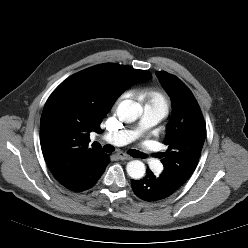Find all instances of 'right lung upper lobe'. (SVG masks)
Returning <instances> with one entry per match:
<instances>
[{
    "instance_id": "cb5924a9",
    "label": "right lung upper lobe",
    "mask_w": 248,
    "mask_h": 248,
    "mask_svg": "<svg viewBox=\"0 0 248 248\" xmlns=\"http://www.w3.org/2000/svg\"><path fill=\"white\" fill-rule=\"evenodd\" d=\"M131 67L107 63L87 68L62 82L49 96L41 116L40 142L45 161L62 185L70 182L89 159L105 154L89 133L100 123L119 95L136 82L125 73Z\"/></svg>"
}]
</instances>
